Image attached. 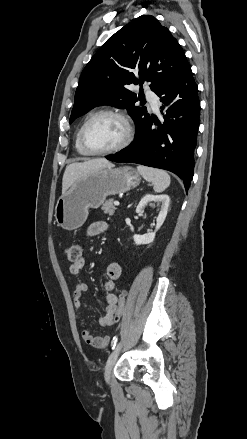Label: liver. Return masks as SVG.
Listing matches in <instances>:
<instances>
[{
	"mask_svg": "<svg viewBox=\"0 0 247 439\" xmlns=\"http://www.w3.org/2000/svg\"><path fill=\"white\" fill-rule=\"evenodd\" d=\"M112 166L113 164L105 158H96L68 165L63 175L62 194L66 193L71 185L79 178L94 173L104 167Z\"/></svg>",
	"mask_w": 247,
	"mask_h": 439,
	"instance_id": "6515ba94",
	"label": "liver"
}]
</instances>
